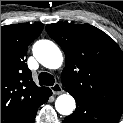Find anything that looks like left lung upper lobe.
Segmentation results:
<instances>
[{
	"instance_id": "obj_1",
	"label": "left lung upper lobe",
	"mask_w": 123,
	"mask_h": 123,
	"mask_svg": "<svg viewBox=\"0 0 123 123\" xmlns=\"http://www.w3.org/2000/svg\"><path fill=\"white\" fill-rule=\"evenodd\" d=\"M46 31L63 49L62 83L74 97L123 110V52L100 29L48 24Z\"/></svg>"
}]
</instances>
